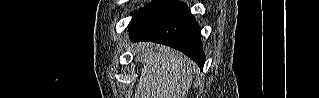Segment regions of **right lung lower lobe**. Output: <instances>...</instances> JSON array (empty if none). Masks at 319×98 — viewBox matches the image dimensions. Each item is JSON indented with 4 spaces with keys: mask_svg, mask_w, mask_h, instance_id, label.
I'll use <instances>...</instances> for the list:
<instances>
[{
    "mask_svg": "<svg viewBox=\"0 0 319 98\" xmlns=\"http://www.w3.org/2000/svg\"><path fill=\"white\" fill-rule=\"evenodd\" d=\"M132 42L152 41L175 48L203 67L200 27L186 4L174 0L153 1L129 24Z\"/></svg>",
    "mask_w": 319,
    "mask_h": 98,
    "instance_id": "right-lung-lower-lobe-1",
    "label": "right lung lower lobe"
}]
</instances>
